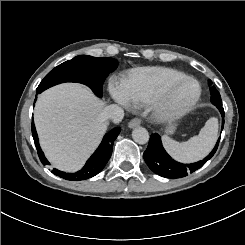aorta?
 <instances>
[{
    "mask_svg": "<svg viewBox=\"0 0 245 245\" xmlns=\"http://www.w3.org/2000/svg\"><path fill=\"white\" fill-rule=\"evenodd\" d=\"M133 140L138 144H146L149 141V133L143 127H137L132 132Z\"/></svg>",
    "mask_w": 245,
    "mask_h": 245,
    "instance_id": "1",
    "label": "aorta"
}]
</instances>
